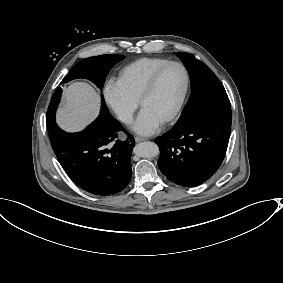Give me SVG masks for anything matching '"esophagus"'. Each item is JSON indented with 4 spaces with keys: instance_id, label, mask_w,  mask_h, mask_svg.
<instances>
[{
    "instance_id": "1",
    "label": "esophagus",
    "mask_w": 283,
    "mask_h": 283,
    "mask_svg": "<svg viewBox=\"0 0 283 283\" xmlns=\"http://www.w3.org/2000/svg\"><path fill=\"white\" fill-rule=\"evenodd\" d=\"M146 140H148V139H147V138H144V137H140V136H136V137H135V141H136L137 143L143 142V141H146Z\"/></svg>"
}]
</instances>
